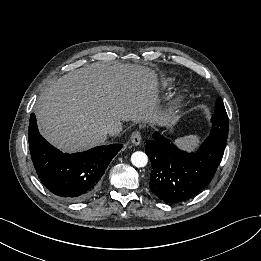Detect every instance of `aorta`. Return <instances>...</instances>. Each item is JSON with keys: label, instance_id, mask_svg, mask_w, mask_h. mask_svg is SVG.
Masks as SVG:
<instances>
[{"label": "aorta", "instance_id": "1", "mask_svg": "<svg viewBox=\"0 0 261 261\" xmlns=\"http://www.w3.org/2000/svg\"><path fill=\"white\" fill-rule=\"evenodd\" d=\"M131 162L135 167H145L148 163V157L144 152L137 151L132 154Z\"/></svg>", "mask_w": 261, "mask_h": 261}]
</instances>
